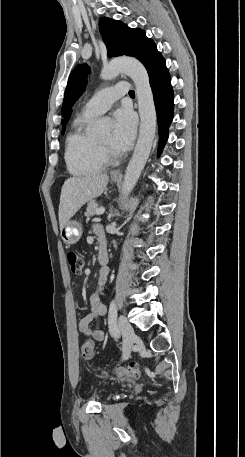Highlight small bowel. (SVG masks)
I'll return each instance as SVG.
<instances>
[{
    "label": "small bowel",
    "mask_w": 245,
    "mask_h": 457,
    "mask_svg": "<svg viewBox=\"0 0 245 457\" xmlns=\"http://www.w3.org/2000/svg\"><path fill=\"white\" fill-rule=\"evenodd\" d=\"M96 232L99 237L100 247H105V242L101 229L96 228ZM107 269H102L100 271L99 280L92 291L89 298L90 313L83 317L79 321V332L85 336H89L96 341H103L105 338V333L102 329H93L91 323L94 319L104 316L106 314L107 308L102 302L101 297L104 293L105 283L107 280Z\"/></svg>",
    "instance_id": "1"
}]
</instances>
